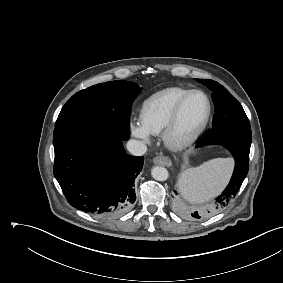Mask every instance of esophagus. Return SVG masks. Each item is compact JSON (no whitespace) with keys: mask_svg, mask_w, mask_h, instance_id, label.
<instances>
[{"mask_svg":"<svg viewBox=\"0 0 283 283\" xmlns=\"http://www.w3.org/2000/svg\"><path fill=\"white\" fill-rule=\"evenodd\" d=\"M153 162L156 165H163V166H171L172 165L171 159L169 157L163 156V155L156 156L153 159Z\"/></svg>","mask_w":283,"mask_h":283,"instance_id":"1","label":"esophagus"}]
</instances>
